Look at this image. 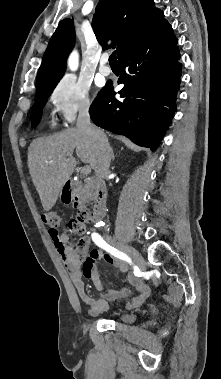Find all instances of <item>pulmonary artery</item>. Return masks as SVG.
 Segmentation results:
<instances>
[{"mask_svg": "<svg viewBox=\"0 0 221 379\" xmlns=\"http://www.w3.org/2000/svg\"><path fill=\"white\" fill-rule=\"evenodd\" d=\"M108 59L109 57L106 54L102 55V57L100 58L98 70L104 76H108L111 74V68L107 65Z\"/></svg>", "mask_w": 221, "mask_h": 379, "instance_id": "e3ab8cb5", "label": "pulmonary artery"}]
</instances>
